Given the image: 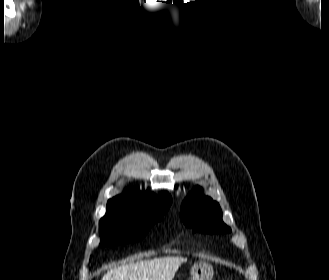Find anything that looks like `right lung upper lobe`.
I'll use <instances>...</instances> for the list:
<instances>
[{"label":"right lung upper lobe","instance_id":"right-lung-upper-lobe-1","mask_svg":"<svg viewBox=\"0 0 329 280\" xmlns=\"http://www.w3.org/2000/svg\"><path fill=\"white\" fill-rule=\"evenodd\" d=\"M171 202V196L167 192H162L159 196H156L154 193H141L139 191L127 189L122 195L110 199L107 204L123 205L149 212L157 207L171 205Z\"/></svg>","mask_w":329,"mask_h":280}]
</instances>
